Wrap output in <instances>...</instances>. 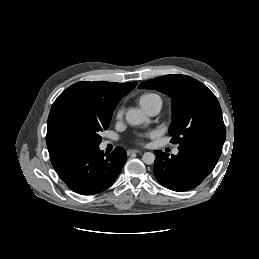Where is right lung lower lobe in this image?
Listing matches in <instances>:
<instances>
[{
  "instance_id": "98d812e1",
  "label": "right lung lower lobe",
  "mask_w": 259,
  "mask_h": 259,
  "mask_svg": "<svg viewBox=\"0 0 259 259\" xmlns=\"http://www.w3.org/2000/svg\"><path fill=\"white\" fill-rule=\"evenodd\" d=\"M51 163L58 176L74 192L97 194L110 187L124 166L127 155L123 148L104 155L99 145L48 147Z\"/></svg>"
}]
</instances>
